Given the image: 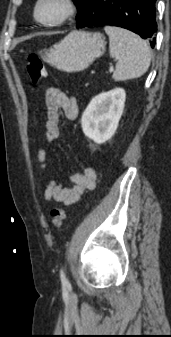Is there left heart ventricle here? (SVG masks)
<instances>
[{
	"label": "left heart ventricle",
	"instance_id": "obj_1",
	"mask_svg": "<svg viewBox=\"0 0 171 337\" xmlns=\"http://www.w3.org/2000/svg\"><path fill=\"white\" fill-rule=\"evenodd\" d=\"M63 7L55 0H47L44 2L39 11L38 17L45 21H54L61 16Z\"/></svg>",
	"mask_w": 171,
	"mask_h": 337
}]
</instances>
